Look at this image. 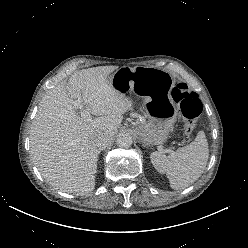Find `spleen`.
Masks as SVG:
<instances>
[{"mask_svg": "<svg viewBox=\"0 0 248 248\" xmlns=\"http://www.w3.org/2000/svg\"><path fill=\"white\" fill-rule=\"evenodd\" d=\"M209 157L208 143L203 131L185 147L166 156L161 152L151 153L155 169L166 174L173 189H184L194 183L203 173Z\"/></svg>", "mask_w": 248, "mask_h": 248, "instance_id": "spleen-1", "label": "spleen"}]
</instances>
